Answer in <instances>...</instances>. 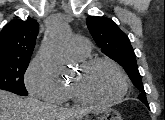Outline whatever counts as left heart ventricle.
<instances>
[{"mask_svg":"<svg viewBox=\"0 0 165 120\" xmlns=\"http://www.w3.org/2000/svg\"><path fill=\"white\" fill-rule=\"evenodd\" d=\"M72 83H79L88 95L99 99L113 97L122 89L120 74L107 64L97 65L84 75L78 71Z\"/></svg>","mask_w":165,"mask_h":120,"instance_id":"left-heart-ventricle-1","label":"left heart ventricle"}]
</instances>
